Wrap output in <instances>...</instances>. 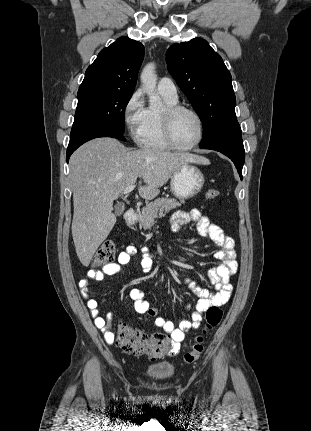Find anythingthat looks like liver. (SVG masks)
I'll list each match as a JSON object with an SVG mask.
<instances>
[{"label": "liver", "instance_id": "obj_1", "mask_svg": "<svg viewBox=\"0 0 311 431\" xmlns=\"http://www.w3.org/2000/svg\"><path fill=\"white\" fill-rule=\"evenodd\" d=\"M184 164L209 166L196 154H171L157 148L129 152L114 138H96L78 148L69 162L73 186L72 237L83 265H89L96 249L108 237L117 217L113 202L127 186L137 184L143 200H154ZM144 184V186H141Z\"/></svg>", "mask_w": 311, "mask_h": 431}]
</instances>
